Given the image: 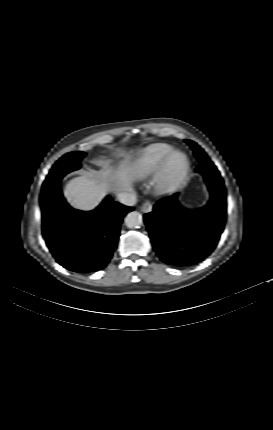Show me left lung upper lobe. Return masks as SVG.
<instances>
[{"label": "left lung upper lobe", "instance_id": "5c2ea615", "mask_svg": "<svg viewBox=\"0 0 273 430\" xmlns=\"http://www.w3.org/2000/svg\"><path fill=\"white\" fill-rule=\"evenodd\" d=\"M185 142L191 147V149L193 150L194 155L196 156L199 163L210 161L207 154L204 152V150L199 145H197V143H195L191 140H185Z\"/></svg>", "mask_w": 273, "mask_h": 430}]
</instances>
